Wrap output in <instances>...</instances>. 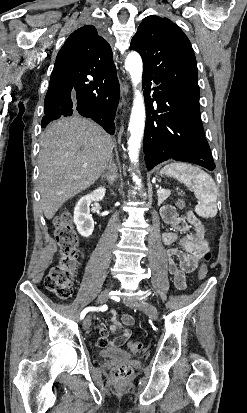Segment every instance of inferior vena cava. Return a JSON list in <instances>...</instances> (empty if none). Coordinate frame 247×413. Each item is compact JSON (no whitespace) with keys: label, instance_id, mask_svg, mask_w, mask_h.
I'll list each match as a JSON object with an SVG mask.
<instances>
[{"label":"inferior vena cava","instance_id":"obj_1","mask_svg":"<svg viewBox=\"0 0 247 413\" xmlns=\"http://www.w3.org/2000/svg\"><path fill=\"white\" fill-rule=\"evenodd\" d=\"M108 168H113V170H117V166H115V164H108Z\"/></svg>","mask_w":247,"mask_h":413}]
</instances>
